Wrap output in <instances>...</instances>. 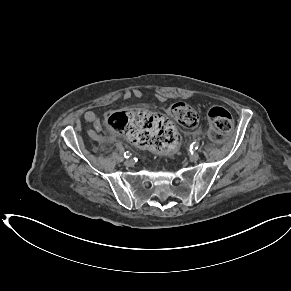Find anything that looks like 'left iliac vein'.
Returning a JSON list of instances; mask_svg holds the SVG:
<instances>
[{
    "instance_id": "1",
    "label": "left iliac vein",
    "mask_w": 291,
    "mask_h": 291,
    "mask_svg": "<svg viewBox=\"0 0 291 291\" xmlns=\"http://www.w3.org/2000/svg\"><path fill=\"white\" fill-rule=\"evenodd\" d=\"M199 159V154L197 153V152H194L193 154H191L190 156H189V160L191 161V162H195V161H197Z\"/></svg>"
}]
</instances>
